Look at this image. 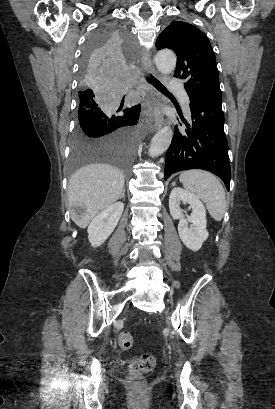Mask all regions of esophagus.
I'll use <instances>...</instances> for the list:
<instances>
[{
  "label": "esophagus",
  "instance_id": "esophagus-1",
  "mask_svg": "<svg viewBox=\"0 0 275 409\" xmlns=\"http://www.w3.org/2000/svg\"><path fill=\"white\" fill-rule=\"evenodd\" d=\"M141 64H142V69L145 72L151 71V56H150V52L146 49H143L141 51ZM155 105L160 108V102L157 100ZM164 123V117L163 115L157 111L155 113V117H154V128H160Z\"/></svg>",
  "mask_w": 275,
  "mask_h": 409
}]
</instances>
